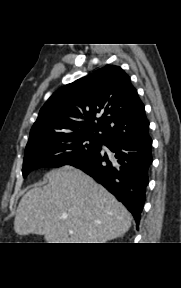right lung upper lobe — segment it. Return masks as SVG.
Wrapping results in <instances>:
<instances>
[{
	"label": "right lung upper lobe",
	"mask_w": 181,
	"mask_h": 288,
	"mask_svg": "<svg viewBox=\"0 0 181 288\" xmlns=\"http://www.w3.org/2000/svg\"><path fill=\"white\" fill-rule=\"evenodd\" d=\"M148 128L129 76L119 66H106L58 89L41 108L29 141L51 134H84L103 142L137 139L148 135Z\"/></svg>",
	"instance_id": "obj_1"
}]
</instances>
